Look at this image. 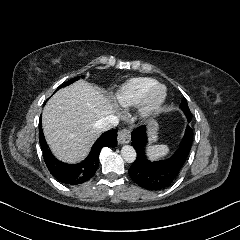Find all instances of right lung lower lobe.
I'll use <instances>...</instances> for the list:
<instances>
[{"label":"right lung lower lobe","mask_w":240,"mask_h":240,"mask_svg":"<svg viewBox=\"0 0 240 240\" xmlns=\"http://www.w3.org/2000/svg\"><path fill=\"white\" fill-rule=\"evenodd\" d=\"M117 130L112 129L103 133L91 148L88 157L78 164H67L57 160L51 153L45 141L39 124V142L43 151L45 164L50 173L61 183L67 185L82 184L92 178L99 167V154L104 147H116Z\"/></svg>","instance_id":"obj_1"}]
</instances>
